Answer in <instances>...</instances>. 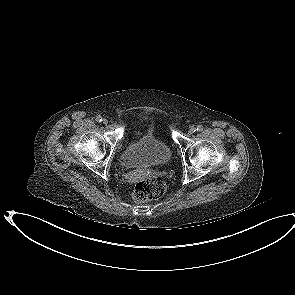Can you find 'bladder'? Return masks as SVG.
Segmentation results:
<instances>
[{"label": "bladder", "instance_id": "31cf9c89", "mask_svg": "<svg viewBox=\"0 0 295 295\" xmlns=\"http://www.w3.org/2000/svg\"><path fill=\"white\" fill-rule=\"evenodd\" d=\"M171 159L172 151L169 145L152 133L130 143L120 154V162L126 168L162 166Z\"/></svg>", "mask_w": 295, "mask_h": 295}]
</instances>
